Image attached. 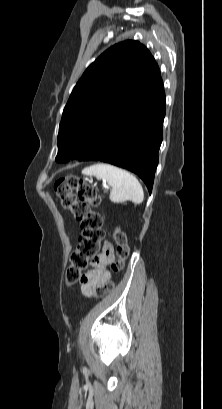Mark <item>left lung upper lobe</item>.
Instances as JSON below:
<instances>
[{"instance_id": "1", "label": "left lung upper lobe", "mask_w": 222, "mask_h": 409, "mask_svg": "<svg viewBox=\"0 0 222 409\" xmlns=\"http://www.w3.org/2000/svg\"><path fill=\"white\" fill-rule=\"evenodd\" d=\"M163 85L148 49L128 40L110 47L84 72L64 108L57 162L79 159L97 132L129 100H145Z\"/></svg>"}]
</instances>
